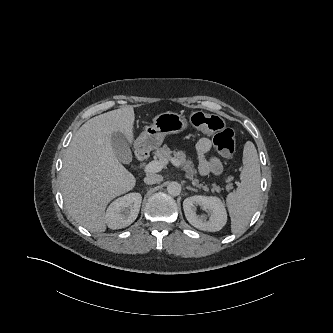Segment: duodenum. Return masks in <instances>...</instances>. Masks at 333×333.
<instances>
[{
	"label": "duodenum",
	"mask_w": 333,
	"mask_h": 333,
	"mask_svg": "<svg viewBox=\"0 0 333 333\" xmlns=\"http://www.w3.org/2000/svg\"><path fill=\"white\" fill-rule=\"evenodd\" d=\"M135 155H136V160L137 161H143L146 157L145 152L141 151V150L137 151Z\"/></svg>",
	"instance_id": "obj_1"
}]
</instances>
